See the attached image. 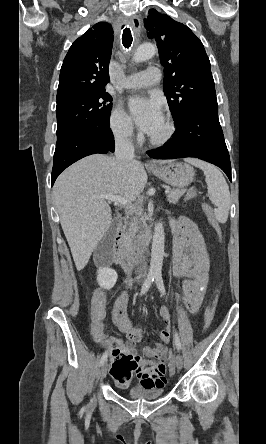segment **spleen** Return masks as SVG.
<instances>
[{
	"mask_svg": "<svg viewBox=\"0 0 266 444\" xmlns=\"http://www.w3.org/2000/svg\"><path fill=\"white\" fill-rule=\"evenodd\" d=\"M186 161L204 172L209 199L216 206L215 217L220 223H225L230 208V192L223 174L215 166L196 158Z\"/></svg>",
	"mask_w": 266,
	"mask_h": 444,
	"instance_id": "spleen-1",
	"label": "spleen"
}]
</instances>
